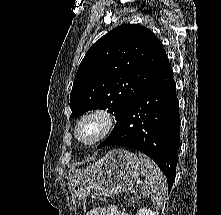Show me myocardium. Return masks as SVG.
<instances>
[{"label":"myocardium","instance_id":"obj_1","mask_svg":"<svg viewBox=\"0 0 221 215\" xmlns=\"http://www.w3.org/2000/svg\"><path fill=\"white\" fill-rule=\"evenodd\" d=\"M88 120H96L99 129L96 135L90 140H83L80 136L81 127ZM116 120L114 115L105 108H92L85 111L76 121L74 126V136L76 141L85 147H91L104 140L114 129Z\"/></svg>","mask_w":221,"mask_h":215}]
</instances>
